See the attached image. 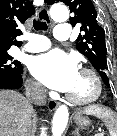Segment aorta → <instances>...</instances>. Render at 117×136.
<instances>
[{
	"instance_id": "1",
	"label": "aorta",
	"mask_w": 117,
	"mask_h": 136,
	"mask_svg": "<svg viewBox=\"0 0 117 136\" xmlns=\"http://www.w3.org/2000/svg\"><path fill=\"white\" fill-rule=\"evenodd\" d=\"M51 18L56 22L69 19V10L65 5L55 4L50 9ZM69 111L65 105L57 108L52 121V136H62L68 122Z\"/></svg>"
}]
</instances>
